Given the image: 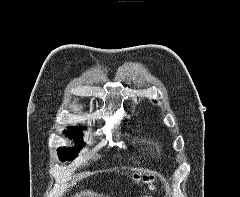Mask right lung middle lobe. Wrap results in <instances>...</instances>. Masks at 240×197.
Listing matches in <instances>:
<instances>
[{
  "mask_svg": "<svg viewBox=\"0 0 240 197\" xmlns=\"http://www.w3.org/2000/svg\"><path fill=\"white\" fill-rule=\"evenodd\" d=\"M64 134L66 137H70L78 141L79 145L77 148H66V147H60L58 148V156L59 159L64 162V161H72L78 154V149L84 145L83 141L78 140L79 138L82 139V129H73V128H68V130L64 131Z\"/></svg>",
  "mask_w": 240,
  "mask_h": 197,
  "instance_id": "right-lung-middle-lobe-1",
  "label": "right lung middle lobe"
}]
</instances>
